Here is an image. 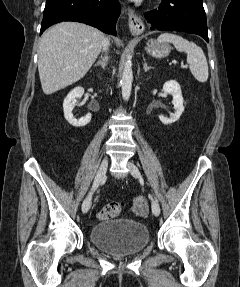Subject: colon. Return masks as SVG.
<instances>
[{"label":"colon","instance_id":"obj_1","mask_svg":"<svg viewBox=\"0 0 240 287\" xmlns=\"http://www.w3.org/2000/svg\"><path fill=\"white\" fill-rule=\"evenodd\" d=\"M123 203L116 201L107 204L98 214L99 219L101 220H109L117 215L122 211Z\"/></svg>","mask_w":240,"mask_h":287}]
</instances>
